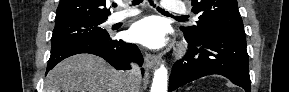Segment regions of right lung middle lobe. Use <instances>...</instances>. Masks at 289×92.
Wrapping results in <instances>:
<instances>
[{
    "mask_svg": "<svg viewBox=\"0 0 289 92\" xmlns=\"http://www.w3.org/2000/svg\"><path fill=\"white\" fill-rule=\"evenodd\" d=\"M104 21L82 18L56 22L51 38V51L74 43L111 39L103 28Z\"/></svg>",
    "mask_w": 289,
    "mask_h": 92,
    "instance_id": "obj_1",
    "label": "right lung middle lobe"
}]
</instances>
